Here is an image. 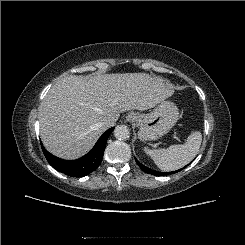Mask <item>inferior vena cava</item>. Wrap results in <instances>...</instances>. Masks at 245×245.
<instances>
[{
  "instance_id": "602c4592",
  "label": "inferior vena cava",
  "mask_w": 245,
  "mask_h": 245,
  "mask_svg": "<svg viewBox=\"0 0 245 245\" xmlns=\"http://www.w3.org/2000/svg\"><path fill=\"white\" fill-rule=\"evenodd\" d=\"M115 120L114 119H109L103 122V126L107 129L109 127H112L115 125Z\"/></svg>"
}]
</instances>
